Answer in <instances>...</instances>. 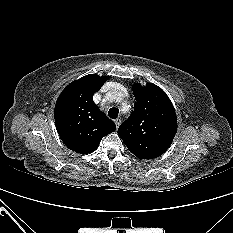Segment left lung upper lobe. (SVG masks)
Masks as SVG:
<instances>
[{
	"instance_id": "1",
	"label": "left lung upper lobe",
	"mask_w": 233,
	"mask_h": 233,
	"mask_svg": "<svg viewBox=\"0 0 233 233\" xmlns=\"http://www.w3.org/2000/svg\"><path fill=\"white\" fill-rule=\"evenodd\" d=\"M134 111L123 122L118 133L131 153L140 159L162 155L171 145L177 131L175 109L166 93L149 83L133 85Z\"/></svg>"
}]
</instances>
